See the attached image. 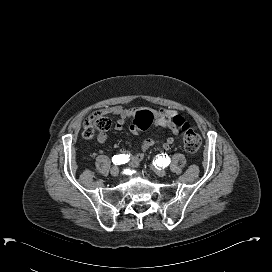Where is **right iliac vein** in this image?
Segmentation results:
<instances>
[{
    "instance_id": "1",
    "label": "right iliac vein",
    "mask_w": 272,
    "mask_h": 272,
    "mask_svg": "<svg viewBox=\"0 0 272 272\" xmlns=\"http://www.w3.org/2000/svg\"><path fill=\"white\" fill-rule=\"evenodd\" d=\"M110 173H111V175H112L113 177H117L118 174H119V169H118V167L114 166V167L111 169Z\"/></svg>"
}]
</instances>
